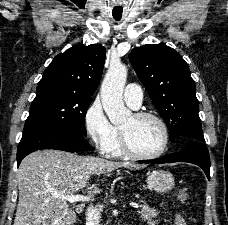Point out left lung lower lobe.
I'll return each instance as SVG.
<instances>
[{
	"mask_svg": "<svg viewBox=\"0 0 228 225\" xmlns=\"http://www.w3.org/2000/svg\"><path fill=\"white\" fill-rule=\"evenodd\" d=\"M173 162H188L201 167L207 178L210 180V158L205 142L191 141L180 152H175L166 155L160 159L139 161V163H173Z\"/></svg>",
	"mask_w": 228,
	"mask_h": 225,
	"instance_id": "left-lung-lower-lobe-1",
	"label": "left lung lower lobe"
}]
</instances>
